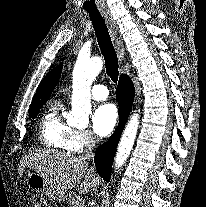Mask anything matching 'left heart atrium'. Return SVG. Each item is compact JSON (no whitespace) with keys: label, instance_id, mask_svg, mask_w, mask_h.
I'll return each mask as SVG.
<instances>
[{"label":"left heart atrium","instance_id":"39dd6f15","mask_svg":"<svg viewBox=\"0 0 206 207\" xmlns=\"http://www.w3.org/2000/svg\"><path fill=\"white\" fill-rule=\"evenodd\" d=\"M118 119V112L114 104L106 103L98 106L92 116L94 132L99 137L109 135Z\"/></svg>","mask_w":206,"mask_h":207}]
</instances>
